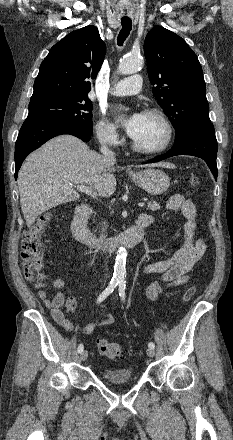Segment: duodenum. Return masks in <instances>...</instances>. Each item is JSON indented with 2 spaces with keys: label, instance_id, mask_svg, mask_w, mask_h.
<instances>
[{
  "label": "duodenum",
  "instance_id": "obj_1",
  "mask_svg": "<svg viewBox=\"0 0 233 440\" xmlns=\"http://www.w3.org/2000/svg\"><path fill=\"white\" fill-rule=\"evenodd\" d=\"M91 213L92 210L89 206L76 207L72 220V232L79 242L93 248L115 250L119 247H134L141 242L145 229L152 224L151 218L140 216L124 234L107 240H100L88 229L87 221Z\"/></svg>",
  "mask_w": 233,
  "mask_h": 440
}]
</instances>
